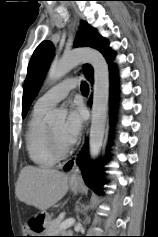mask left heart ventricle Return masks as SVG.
I'll list each match as a JSON object with an SVG mask.
<instances>
[{
  "label": "left heart ventricle",
  "mask_w": 158,
  "mask_h": 237,
  "mask_svg": "<svg viewBox=\"0 0 158 237\" xmlns=\"http://www.w3.org/2000/svg\"><path fill=\"white\" fill-rule=\"evenodd\" d=\"M62 128H63V124L62 123L50 126V130H51V132L53 134V137H54L57 145L61 149H66V148H69V146L61 138Z\"/></svg>",
  "instance_id": "obj_1"
}]
</instances>
